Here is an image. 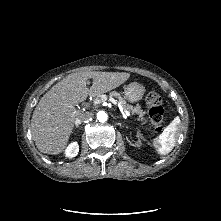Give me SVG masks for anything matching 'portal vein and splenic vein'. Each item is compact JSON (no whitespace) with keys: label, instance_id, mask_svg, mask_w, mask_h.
I'll use <instances>...</instances> for the list:
<instances>
[{"label":"portal vein and splenic vein","instance_id":"obj_1","mask_svg":"<svg viewBox=\"0 0 221 221\" xmlns=\"http://www.w3.org/2000/svg\"><path fill=\"white\" fill-rule=\"evenodd\" d=\"M106 100H107V97L106 96H102L101 98H96L94 100V104L97 105V104H100L101 102L106 101ZM109 101L112 102L114 105L118 106L119 108H121V105H119L114 98L109 97ZM121 111L124 113L125 116L130 117V115H131L130 111H128V110H124V111L121 110Z\"/></svg>","mask_w":221,"mask_h":221}]
</instances>
